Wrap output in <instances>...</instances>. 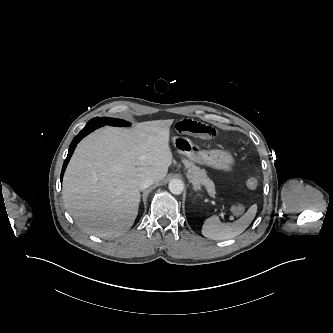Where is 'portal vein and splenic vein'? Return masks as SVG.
Instances as JSON below:
<instances>
[{
	"label": "portal vein and splenic vein",
	"instance_id": "1",
	"mask_svg": "<svg viewBox=\"0 0 333 333\" xmlns=\"http://www.w3.org/2000/svg\"><path fill=\"white\" fill-rule=\"evenodd\" d=\"M221 215H224V213H223V212H221Z\"/></svg>",
	"mask_w": 333,
	"mask_h": 333
}]
</instances>
